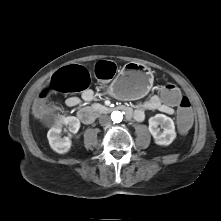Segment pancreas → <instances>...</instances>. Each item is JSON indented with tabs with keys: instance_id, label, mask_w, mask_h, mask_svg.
I'll return each instance as SVG.
<instances>
[{
	"instance_id": "cf45deb5",
	"label": "pancreas",
	"mask_w": 221,
	"mask_h": 221,
	"mask_svg": "<svg viewBox=\"0 0 221 221\" xmlns=\"http://www.w3.org/2000/svg\"><path fill=\"white\" fill-rule=\"evenodd\" d=\"M92 108L95 110V111H103L104 109H106L105 106L101 105V104H93L92 105Z\"/></svg>"
}]
</instances>
